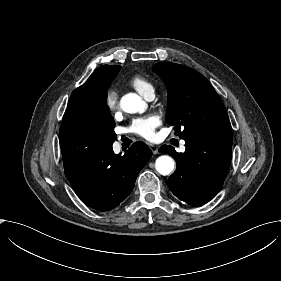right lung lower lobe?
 <instances>
[{
  "mask_svg": "<svg viewBox=\"0 0 281 281\" xmlns=\"http://www.w3.org/2000/svg\"><path fill=\"white\" fill-rule=\"evenodd\" d=\"M86 91L68 102L60 127V148L65 175L78 197L89 207L108 211L133 190L140 170L152 151L135 142L124 155L115 154V122L109 107Z\"/></svg>",
  "mask_w": 281,
  "mask_h": 281,
  "instance_id": "98d812e1",
  "label": "right lung lower lobe"
}]
</instances>
